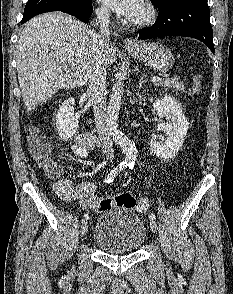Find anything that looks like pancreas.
Listing matches in <instances>:
<instances>
[{"label": "pancreas", "mask_w": 233, "mask_h": 294, "mask_svg": "<svg viewBox=\"0 0 233 294\" xmlns=\"http://www.w3.org/2000/svg\"><path fill=\"white\" fill-rule=\"evenodd\" d=\"M157 86H163L165 88H171L174 91H182L184 90V85L179 81V78L174 77L172 79H165L163 81H159L156 83Z\"/></svg>", "instance_id": "cf45deb5"}]
</instances>
